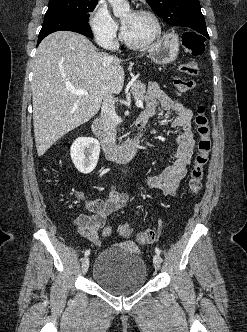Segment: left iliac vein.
I'll return each mask as SVG.
<instances>
[{
	"mask_svg": "<svg viewBox=\"0 0 247 332\" xmlns=\"http://www.w3.org/2000/svg\"><path fill=\"white\" fill-rule=\"evenodd\" d=\"M161 261V257L158 254H155L153 257V264L156 270L160 269Z\"/></svg>",
	"mask_w": 247,
	"mask_h": 332,
	"instance_id": "obj_1",
	"label": "left iliac vein"
}]
</instances>
